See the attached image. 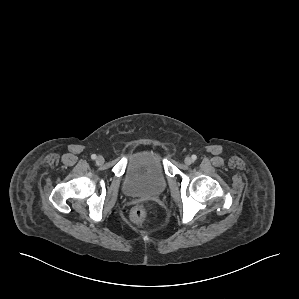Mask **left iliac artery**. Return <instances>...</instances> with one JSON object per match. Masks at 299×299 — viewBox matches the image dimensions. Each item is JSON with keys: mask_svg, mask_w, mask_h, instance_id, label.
Returning a JSON list of instances; mask_svg holds the SVG:
<instances>
[{"mask_svg": "<svg viewBox=\"0 0 299 299\" xmlns=\"http://www.w3.org/2000/svg\"><path fill=\"white\" fill-rule=\"evenodd\" d=\"M191 158H192V160H194V161H195V160L197 159V156H196V155H192V157H191Z\"/></svg>", "mask_w": 299, "mask_h": 299, "instance_id": "1", "label": "left iliac artery"}]
</instances>
